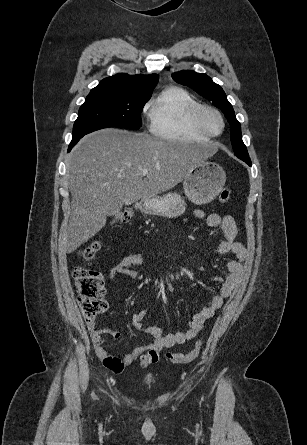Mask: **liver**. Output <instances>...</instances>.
Returning <instances> with one entry per match:
<instances>
[{"mask_svg": "<svg viewBox=\"0 0 307 445\" xmlns=\"http://www.w3.org/2000/svg\"><path fill=\"white\" fill-rule=\"evenodd\" d=\"M205 156L206 148L160 140L146 132L102 128L87 134L73 148L68 164L72 200L61 251H76L123 204L170 190ZM140 168H148V174L143 176Z\"/></svg>", "mask_w": 307, "mask_h": 445, "instance_id": "obj_1", "label": "liver"}]
</instances>
